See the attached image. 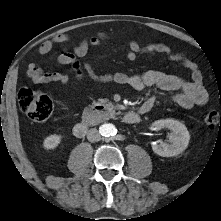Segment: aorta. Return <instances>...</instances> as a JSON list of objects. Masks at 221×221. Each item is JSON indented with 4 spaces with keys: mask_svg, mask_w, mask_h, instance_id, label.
Returning a JSON list of instances; mask_svg holds the SVG:
<instances>
[{
    "mask_svg": "<svg viewBox=\"0 0 221 221\" xmlns=\"http://www.w3.org/2000/svg\"><path fill=\"white\" fill-rule=\"evenodd\" d=\"M116 129L113 124H103L100 127V132L103 136H111L115 133Z\"/></svg>",
    "mask_w": 221,
    "mask_h": 221,
    "instance_id": "aorta-1",
    "label": "aorta"
}]
</instances>
